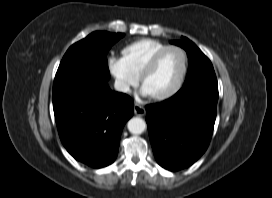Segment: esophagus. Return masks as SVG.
<instances>
[{"mask_svg":"<svg viewBox=\"0 0 272 198\" xmlns=\"http://www.w3.org/2000/svg\"><path fill=\"white\" fill-rule=\"evenodd\" d=\"M134 114L137 116H144L146 114V110L144 107H142L138 104H135L134 105Z\"/></svg>","mask_w":272,"mask_h":198,"instance_id":"obj_1","label":"esophagus"}]
</instances>
